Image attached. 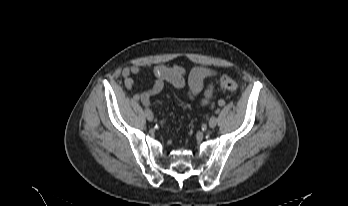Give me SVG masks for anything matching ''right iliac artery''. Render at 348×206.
<instances>
[{
    "label": "right iliac artery",
    "mask_w": 348,
    "mask_h": 206,
    "mask_svg": "<svg viewBox=\"0 0 348 206\" xmlns=\"http://www.w3.org/2000/svg\"><path fill=\"white\" fill-rule=\"evenodd\" d=\"M140 99L139 95H134V101H138Z\"/></svg>",
    "instance_id": "right-iliac-artery-1"
}]
</instances>
